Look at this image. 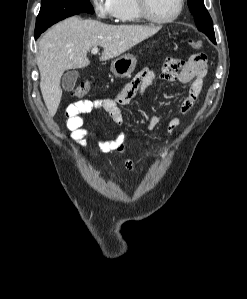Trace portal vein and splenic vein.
Returning a JSON list of instances; mask_svg holds the SVG:
<instances>
[{"instance_id": "obj_1", "label": "portal vein and splenic vein", "mask_w": 247, "mask_h": 299, "mask_svg": "<svg viewBox=\"0 0 247 299\" xmlns=\"http://www.w3.org/2000/svg\"><path fill=\"white\" fill-rule=\"evenodd\" d=\"M98 48L97 47H93L92 48V50H91V53H93V54H96V53H98Z\"/></svg>"}]
</instances>
